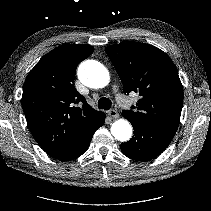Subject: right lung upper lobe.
Returning <instances> with one entry per match:
<instances>
[{
    "label": "right lung upper lobe",
    "instance_id": "cb5924a9",
    "mask_svg": "<svg viewBox=\"0 0 211 211\" xmlns=\"http://www.w3.org/2000/svg\"><path fill=\"white\" fill-rule=\"evenodd\" d=\"M94 51L85 44L58 47L34 66L22 94V108L37 143L55 156L82 137L104 113L94 110L74 86L77 65Z\"/></svg>",
    "mask_w": 211,
    "mask_h": 211
}]
</instances>
